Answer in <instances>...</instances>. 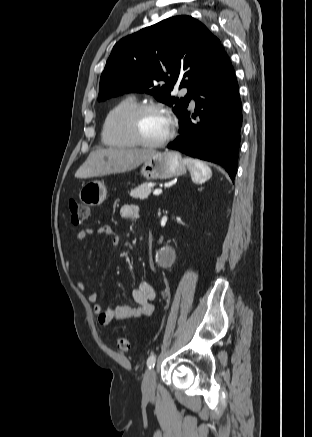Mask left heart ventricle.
<instances>
[{
    "label": "left heart ventricle",
    "instance_id": "b2bd125f",
    "mask_svg": "<svg viewBox=\"0 0 312 437\" xmlns=\"http://www.w3.org/2000/svg\"><path fill=\"white\" fill-rule=\"evenodd\" d=\"M168 129L169 121L161 112H146L140 119L141 133L149 141L161 140L166 136Z\"/></svg>",
    "mask_w": 312,
    "mask_h": 437
}]
</instances>
